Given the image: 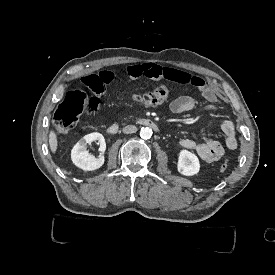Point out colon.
<instances>
[{"instance_id":"obj_1","label":"colon","mask_w":275,"mask_h":275,"mask_svg":"<svg viewBox=\"0 0 275 275\" xmlns=\"http://www.w3.org/2000/svg\"><path fill=\"white\" fill-rule=\"evenodd\" d=\"M81 80L87 81V86L93 92V95H88L80 90H72L67 93L65 99L58 104L53 114L55 127L60 133L71 131L82 116L95 112L99 106L97 97L109 89L100 82L98 74H91L89 77L87 74H82ZM169 95L166 84L157 81L153 84L152 91L136 95L134 100L142 105H155L167 100ZM219 167L222 172L227 173L230 170V163L222 158Z\"/></svg>"}]
</instances>
